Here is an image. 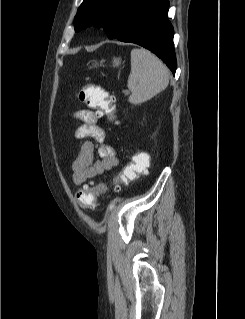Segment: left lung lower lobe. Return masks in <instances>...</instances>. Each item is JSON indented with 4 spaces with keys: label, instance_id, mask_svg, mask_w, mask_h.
Masks as SVG:
<instances>
[{
    "label": "left lung lower lobe",
    "instance_id": "1",
    "mask_svg": "<svg viewBox=\"0 0 245 319\" xmlns=\"http://www.w3.org/2000/svg\"><path fill=\"white\" fill-rule=\"evenodd\" d=\"M168 0H145L133 10L114 39L141 45L176 71L174 30L168 21Z\"/></svg>",
    "mask_w": 245,
    "mask_h": 319
}]
</instances>
